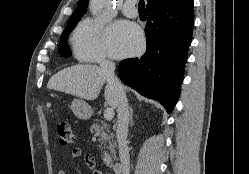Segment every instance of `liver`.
Here are the masks:
<instances>
[{"instance_id":"1","label":"liver","mask_w":249,"mask_h":174,"mask_svg":"<svg viewBox=\"0 0 249 174\" xmlns=\"http://www.w3.org/2000/svg\"><path fill=\"white\" fill-rule=\"evenodd\" d=\"M105 83V100L111 108L115 109L117 108L115 88L110 83L107 74L97 65L78 64L67 67L53 75L47 87L82 99L94 100Z\"/></svg>"}]
</instances>
